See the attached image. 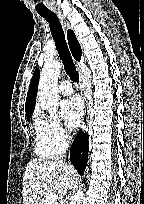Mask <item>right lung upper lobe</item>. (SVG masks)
<instances>
[{
  "label": "right lung upper lobe",
  "mask_w": 144,
  "mask_h": 204,
  "mask_svg": "<svg viewBox=\"0 0 144 204\" xmlns=\"http://www.w3.org/2000/svg\"><path fill=\"white\" fill-rule=\"evenodd\" d=\"M67 39H68V44L73 57L79 61L81 58L82 51L76 39V36L72 30H68ZM38 81H39V69H36L31 79V83H30L27 98H26L25 110H26L27 118L31 117L35 108V98H36V92L38 87Z\"/></svg>",
  "instance_id": "right-lung-upper-lobe-1"
}]
</instances>
